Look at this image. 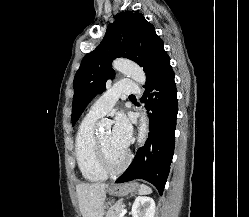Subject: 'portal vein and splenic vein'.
I'll return each instance as SVG.
<instances>
[{
  "label": "portal vein and splenic vein",
  "mask_w": 249,
  "mask_h": 217,
  "mask_svg": "<svg viewBox=\"0 0 249 217\" xmlns=\"http://www.w3.org/2000/svg\"><path fill=\"white\" fill-rule=\"evenodd\" d=\"M127 210L126 209H123L121 211V213L119 214V217H124V215L126 214Z\"/></svg>",
  "instance_id": "18ae733b"
}]
</instances>
